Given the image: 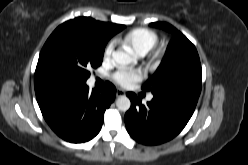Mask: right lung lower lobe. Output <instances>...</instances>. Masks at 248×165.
Here are the masks:
<instances>
[{"label":"right lung lower lobe","instance_id":"98d812e1","mask_svg":"<svg viewBox=\"0 0 248 165\" xmlns=\"http://www.w3.org/2000/svg\"><path fill=\"white\" fill-rule=\"evenodd\" d=\"M115 86L106 82L100 92H89L87 85L58 87L37 97L42 115L62 139L81 143L94 138L100 131L104 112L114 101Z\"/></svg>","mask_w":248,"mask_h":165}]
</instances>
